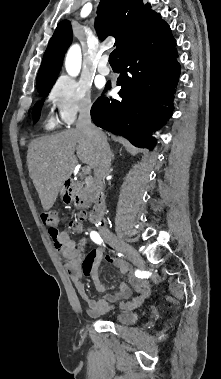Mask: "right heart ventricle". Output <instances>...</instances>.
<instances>
[{"label":"right heart ventricle","instance_id":"right-heart-ventricle-1","mask_svg":"<svg viewBox=\"0 0 221 379\" xmlns=\"http://www.w3.org/2000/svg\"><path fill=\"white\" fill-rule=\"evenodd\" d=\"M56 125H57V121H56L54 118H52V117H49V118L47 119L46 123H45V127H46L47 129H52V128H54Z\"/></svg>","mask_w":221,"mask_h":379}]
</instances>
